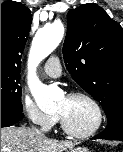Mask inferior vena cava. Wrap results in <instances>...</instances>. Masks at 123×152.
I'll use <instances>...</instances> for the list:
<instances>
[{
  "instance_id": "inferior-vena-cava-1",
  "label": "inferior vena cava",
  "mask_w": 123,
  "mask_h": 152,
  "mask_svg": "<svg viewBox=\"0 0 123 152\" xmlns=\"http://www.w3.org/2000/svg\"><path fill=\"white\" fill-rule=\"evenodd\" d=\"M34 129V131L37 133V134H39V135H44L41 131H39L38 129H36V128H33Z\"/></svg>"
}]
</instances>
